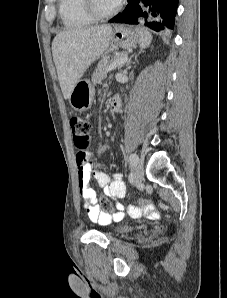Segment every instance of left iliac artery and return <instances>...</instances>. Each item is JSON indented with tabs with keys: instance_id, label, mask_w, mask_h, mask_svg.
Returning a JSON list of instances; mask_svg holds the SVG:
<instances>
[{
	"instance_id": "44dca946",
	"label": "left iliac artery",
	"mask_w": 227,
	"mask_h": 298,
	"mask_svg": "<svg viewBox=\"0 0 227 298\" xmlns=\"http://www.w3.org/2000/svg\"><path fill=\"white\" fill-rule=\"evenodd\" d=\"M129 162L132 167L135 166L138 162V156L135 153L131 154L129 156Z\"/></svg>"
}]
</instances>
